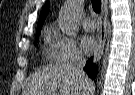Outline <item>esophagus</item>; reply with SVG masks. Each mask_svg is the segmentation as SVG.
I'll use <instances>...</instances> for the list:
<instances>
[{"label":"esophagus","mask_w":135,"mask_h":95,"mask_svg":"<svg viewBox=\"0 0 135 95\" xmlns=\"http://www.w3.org/2000/svg\"><path fill=\"white\" fill-rule=\"evenodd\" d=\"M107 12H108V1L102 0V12L100 16V33H99V39H98V48L94 54V62H97L100 60L104 51L106 38H107V31H106Z\"/></svg>","instance_id":"34e87169"}]
</instances>
